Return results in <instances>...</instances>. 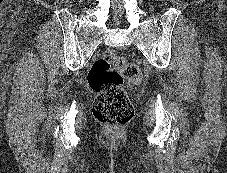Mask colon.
Wrapping results in <instances>:
<instances>
[{"mask_svg": "<svg viewBox=\"0 0 227 173\" xmlns=\"http://www.w3.org/2000/svg\"><path fill=\"white\" fill-rule=\"evenodd\" d=\"M125 81L130 86H138L142 72L122 55L108 51L92 64L88 83L97 94L93 114L100 123L118 128L133 118L134 109L124 89Z\"/></svg>", "mask_w": 227, "mask_h": 173, "instance_id": "obj_1", "label": "colon"}]
</instances>
